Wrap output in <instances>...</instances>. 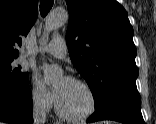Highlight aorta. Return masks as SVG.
<instances>
[{"label": "aorta", "mask_w": 156, "mask_h": 124, "mask_svg": "<svg viewBox=\"0 0 156 124\" xmlns=\"http://www.w3.org/2000/svg\"><path fill=\"white\" fill-rule=\"evenodd\" d=\"M67 19L68 14L65 10L57 9L52 11L45 21L44 35H47L54 29L64 25ZM43 70L44 78L47 82H52L57 77V75L61 73L60 69L54 68L53 66H50L47 63H43Z\"/></svg>", "instance_id": "obj_1"}]
</instances>
